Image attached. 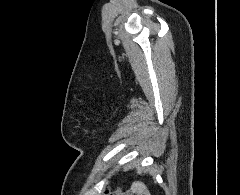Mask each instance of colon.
Listing matches in <instances>:
<instances>
[{"label":"colon","instance_id":"colon-1","mask_svg":"<svg viewBox=\"0 0 240 195\" xmlns=\"http://www.w3.org/2000/svg\"><path fill=\"white\" fill-rule=\"evenodd\" d=\"M116 195H131V193L130 192H128V193L117 192Z\"/></svg>","mask_w":240,"mask_h":195}]
</instances>
